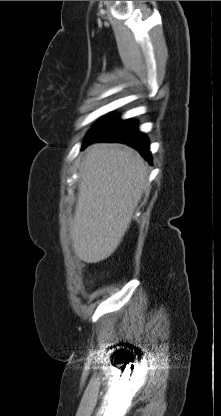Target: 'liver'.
<instances>
[{"label":"liver","instance_id":"liver-1","mask_svg":"<svg viewBox=\"0 0 221 416\" xmlns=\"http://www.w3.org/2000/svg\"><path fill=\"white\" fill-rule=\"evenodd\" d=\"M70 235L75 255L86 263L108 258L129 228L147 187L143 157L133 148L95 143L81 164Z\"/></svg>","mask_w":221,"mask_h":416}]
</instances>
